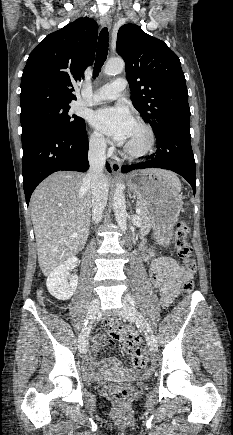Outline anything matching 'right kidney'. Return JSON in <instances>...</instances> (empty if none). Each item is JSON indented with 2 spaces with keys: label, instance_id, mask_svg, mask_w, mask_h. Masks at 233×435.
<instances>
[{
  "label": "right kidney",
  "instance_id": "right-kidney-1",
  "mask_svg": "<svg viewBox=\"0 0 233 435\" xmlns=\"http://www.w3.org/2000/svg\"><path fill=\"white\" fill-rule=\"evenodd\" d=\"M77 257H71L58 265L48 276L46 286L49 293L58 300H68L74 294L78 285V276L69 278V270L77 264Z\"/></svg>",
  "mask_w": 233,
  "mask_h": 435
}]
</instances>
